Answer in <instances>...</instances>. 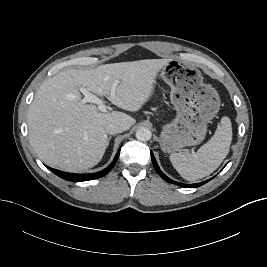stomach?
Here are the masks:
<instances>
[{
    "label": "stomach",
    "instance_id": "obj_1",
    "mask_svg": "<svg viewBox=\"0 0 267 267\" xmlns=\"http://www.w3.org/2000/svg\"><path fill=\"white\" fill-rule=\"evenodd\" d=\"M160 77L171 87L170 100L176 110L175 119L163 126L160 146L174 152L200 144L207 132V123L220 108L217 91L204 83L199 69L179 60H169Z\"/></svg>",
    "mask_w": 267,
    "mask_h": 267
}]
</instances>
